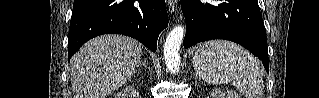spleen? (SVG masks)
I'll return each mask as SVG.
<instances>
[{"mask_svg": "<svg viewBox=\"0 0 319 98\" xmlns=\"http://www.w3.org/2000/svg\"><path fill=\"white\" fill-rule=\"evenodd\" d=\"M193 67L209 84H231L246 98H262L261 64L238 44L221 40L201 44L193 56Z\"/></svg>", "mask_w": 319, "mask_h": 98, "instance_id": "3e777b00", "label": "spleen"}]
</instances>
